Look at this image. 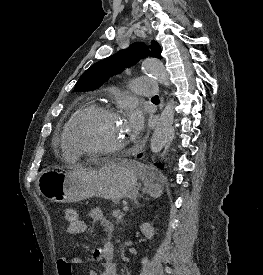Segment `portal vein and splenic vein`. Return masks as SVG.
I'll return each mask as SVG.
<instances>
[{
  "label": "portal vein and splenic vein",
  "instance_id": "portal-vein-and-splenic-vein-1",
  "mask_svg": "<svg viewBox=\"0 0 263 275\" xmlns=\"http://www.w3.org/2000/svg\"><path fill=\"white\" fill-rule=\"evenodd\" d=\"M128 210H129V208H128L127 206H124V207H123V211H124V212H127Z\"/></svg>",
  "mask_w": 263,
  "mask_h": 275
}]
</instances>
